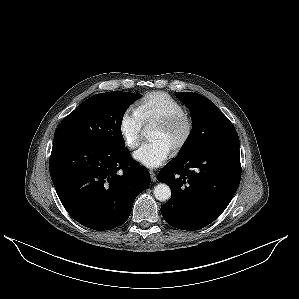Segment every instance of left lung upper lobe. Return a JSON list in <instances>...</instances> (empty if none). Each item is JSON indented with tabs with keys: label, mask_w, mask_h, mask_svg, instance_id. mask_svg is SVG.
Returning a JSON list of instances; mask_svg holds the SVG:
<instances>
[{
	"label": "left lung upper lobe",
	"mask_w": 299,
	"mask_h": 299,
	"mask_svg": "<svg viewBox=\"0 0 299 299\" xmlns=\"http://www.w3.org/2000/svg\"><path fill=\"white\" fill-rule=\"evenodd\" d=\"M193 119L192 131L177 158L197 155L209 145L236 134L230 120L206 97L193 92H177Z\"/></svg>",
	"instance_id": "5c2ea615"
}]
</instances>
